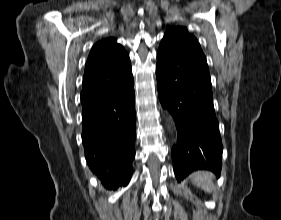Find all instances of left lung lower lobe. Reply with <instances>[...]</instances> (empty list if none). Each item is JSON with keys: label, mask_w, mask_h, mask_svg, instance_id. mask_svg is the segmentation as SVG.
Here are the masks:
<instances>
[{"label": "left lung lower lobe", "mask_w": 281, "mask_h": 220, "mask_svg": "<svg viewBox=\"0 0 281 220\" xmlns=\"http://www.w3.org/2000/svg\"><path fill=\"white\" fill-rule=\"evenodd\" d=\"M156 76L161 104L177 128L171 151L177 180L199 169L218 176L223 146L208 67L183 55L157 54Z\"/></svg>", "instance_id": "1"}]
</instances>
